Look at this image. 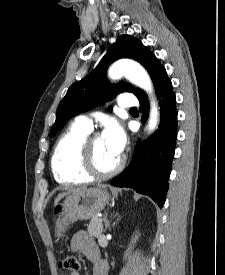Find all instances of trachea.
Masks as SVG:
<instances>
[{
    "label": "trachea",
    "mask_w": 225,
    "mask_h": 275,
    "mask_svg": "<svg viewBox=\"0 0 225 275\" xmlns=\"http://www.w3.org/2000/svg\"><path fill=\"white\" fill-rule=\"evenodd\" d=\"M131 110H136V108H131Z\"/></svg>",
    "instance_id": "1"
}]
</instances>
